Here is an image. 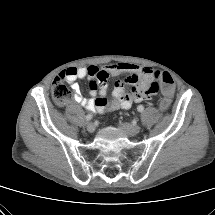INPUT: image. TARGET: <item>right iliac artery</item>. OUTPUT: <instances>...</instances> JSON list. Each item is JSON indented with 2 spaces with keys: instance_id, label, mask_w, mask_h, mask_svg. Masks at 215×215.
Instances as JSON below:
<instances>
[{
  "instance_id": "1",
  "label": "right iliac artery",
  "mask_w": 215,
  "mask_h": 215,
  "mask_svg": "<svg viewBox=\"0 0 215 215\" xmlns=\"http://www.w3.org/2000/svg\"><path fill=\"white\" fill-rule=\"evenodd\" d=\"M93 115L92 114H88L86 116V121H90L92 119Z\"/></svg>"
}]
</instances>
